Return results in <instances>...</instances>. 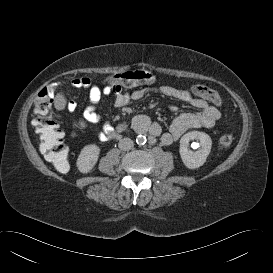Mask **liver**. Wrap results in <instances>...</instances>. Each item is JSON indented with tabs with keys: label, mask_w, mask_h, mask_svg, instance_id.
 <instances>
[{
	"label": "liver",
	"mask_w": 273,
	"mask_h": 273,
	"mask_svg": "<svg viewBox=\"0 0 273 273\" xmlns=\"http://www.w3.org/2000/svg\"><path fill=\"white\" fill-rule=\"evenodd\" d=\"M66 105V99L64 95L58 93L55 97L54 106L57 110H63Z\"/></svg>",
	"instance_id": "obj_1"
}]
</instances>
